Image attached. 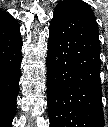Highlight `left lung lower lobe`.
<instances>
[{"mask_svg":"<svg viewBox=\"0 0 108 127\" xmlns=\"http://www.w3.org/2000/svg\"><path fill=\"white\" fill-rule=\"evenodd\" d=\"M47 100L50 127H104L98 27L84 1L65 0L54 10Z\"/></svg>","mask_w":108,"mask_h":127,"instance_id":"left-lung-lower-lobe-1","label":"left lung lower lobe"}]
</instances>
